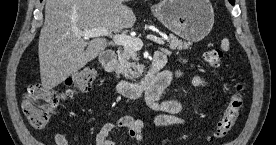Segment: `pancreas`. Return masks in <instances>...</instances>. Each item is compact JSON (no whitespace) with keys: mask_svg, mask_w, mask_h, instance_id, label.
Masks as SVG:
<instances>
[{"mask_svg":"<svg viewBox=\"0 0 276 145\" xmlns=\"http://www.w3.org/2000/svg\"><path fill=\"white\" fill-rule=\"evenodd\" d=\"M169 47L172 50H186L189 49L191 44L177 39L174 35H169ZM137 50L129 47H124L118 53L117 71L124 75L128 80H133L139 77L143 72V66L138 64Z\"/></svg>","mask_w":276,"mask_h":145,"instance_id":"1","label":"pancreas"}]
</instances>
